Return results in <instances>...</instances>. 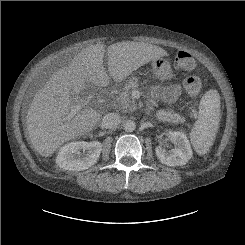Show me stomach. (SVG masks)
Wrapping results in <instances>:
<instances>
[{
  "mask_svg": "<svg viewBox=\"0 0 245 245\" xmlns=\"http://www.w3.org/2000/svg\"><path fill=\"white\" fill-rule=\"evenodd\" d=\"M152 72L160 79H170L172 77V68L169 62L164 58H157L152 62Z\"/></svg>",
  "mask_w": 245,
  "mask_h": 245,
  "instance_id": "obj_1",
  "label": "stomach"
}]
</instances>
